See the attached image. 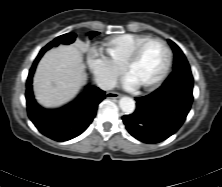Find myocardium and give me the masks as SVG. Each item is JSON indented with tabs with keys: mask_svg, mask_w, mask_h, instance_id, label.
Listing matches in <instances>:
<instances>
[{
	"mask_svg": "<svg viewBox=\"0 0 222 187\" xmlns=\"http://www.w3.org/2000/svg\"><path fill=\"white\" fill-rule=\"evenodd\" d=\"M152 42H158L164 46L166 53H167V60H166L164 70L162 71V73L160 74V76L158 78H156L152 82L138 85L139 87L144 88V89L156 88L167 77V75L170 71L171 65H172V60H173V54H172V50H171L169 44L165 40L158 38V37L147 38L146 40L142 41L140 44H138L135 47V49L131 52V54L126 59L124 65H123V70H124L125 74L129 75V71H130L131 67L138 61L145 46L148 45L149 43H152Z\"/></svg>",
	"mask_w": 222,
	"mask_h": 187,
	"instance_id": "myocardium-1",
	"label": "myocardium"
}]
</instances>
